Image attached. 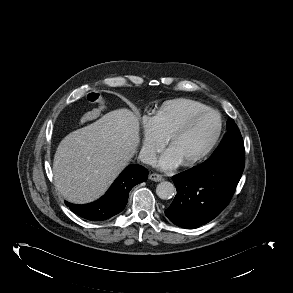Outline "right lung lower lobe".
<instances>
[{"label":"right lung lower lobe","instance_id":"obj_1","mask_svg":"<svg viewBox=\"0 0 293 293\" xmlns=\"http://www.w3.org/2000/svg\"><path fill=\"white\" fill-rule=\"evenodd\" d=\"M148 170L140 165L128 166L99 200L85 205L66 202L70 210L91 221L106 220L121 212L133 186L147 180Z\"/></svg>","mask_w":293,"mask_h":293}]
</instances>
